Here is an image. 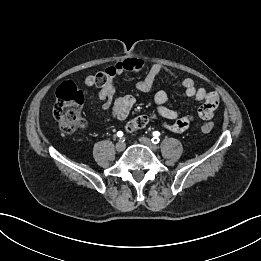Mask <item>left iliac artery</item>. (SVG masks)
<instances>
[{"label":"left iliac artery","instance_id":"obj_1","mask_svg":"<svg viewBox=\"0 0 261 261\" xmlns=\"http://www.w3.org/2000/svg\"><path fill=\"white\" fill-rule=\"evenodd\" d=\"M159 135H160V133L158 131L153 132L152 143H154V144L159 143V141H160Z\"/></svg>","mask_w":261,"mask_h":261}]
</instances>
